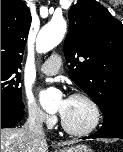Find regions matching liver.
<instances>
[{"mask_svg": "<svg viewBox=\"0 0 123 152\" xmlns=\"http://www.w3.org/2000/svg\"><path fill=\"white\" fill-rule=\"evenodd\" d=\"M64 142L59 145H70ZM1 152H49L45 137L36 136L24 128L1 129Z\"/></svg>", "mask_w": 123, "mask_h": 152, "instance_id": "obj_1", "label": "liver"}]
</instances>
